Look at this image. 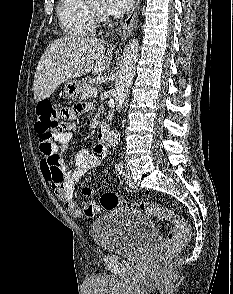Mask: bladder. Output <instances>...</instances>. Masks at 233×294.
I'll list each match as a JSON object with an SVG mask.
<instances>
[{"label":"bladder","mask_w":233,"mask_h":294,"mask_svg":"<svg viewBox=\"0 0 233 294\" xmlns=\"http://www.w3.org/2000/svg\"><path fill=\"white\" fill-rule=\"evenodd\" d=\"M91 234L95 244L103 251L137 255L153 242L157 228L140 210L118 206L93 222Z\"/></svg>","instance_id":"obj_1"}]
</instances>
